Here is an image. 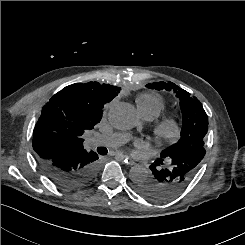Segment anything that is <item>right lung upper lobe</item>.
<instances>
[{
	"mask_svg": "<svg viewBox=\"0 0 245 245\" xmlns=\"http://www.w3.org/2000/svg\"><path fill=\"white\" fill-rule=\"evenodd\" d=\"M119 91L116 86L89 82L69 85L54 94L33 131L37 159L49 161L68 150H83L84 131L100 122L104 105Z\"/></svg>",
	"mask_w": 245,
	"mask_h": 245,
	"instance_id": "cb5924a9",
	"label": "right lung upper lobe"
}]
</instances>
